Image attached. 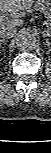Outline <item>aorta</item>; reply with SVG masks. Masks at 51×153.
Listing matches in <instances>:
<instances>
[{
  "mask_svg": "<svg viewBox=\"0 0 51 153\" xmlns=\"http://www.w3.org/2000/svg\"><path fill=\"white\" fill-rule=\"evenodd\" d=\"M36 46V37L28 32L19 35L16 41L17 49L21 51H30Z\"/></svg>",
  "mask_w": 51,
  "mask_h": 153,
  "instance_id": "1",
  "label": "aorta"
}]
</instances>
